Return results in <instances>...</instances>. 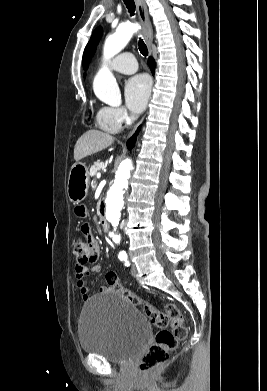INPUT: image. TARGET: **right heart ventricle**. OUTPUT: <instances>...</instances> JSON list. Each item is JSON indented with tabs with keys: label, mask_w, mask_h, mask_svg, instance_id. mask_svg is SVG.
Returning a JSON list of instances; mask_svg holds the SVG:
<instances>
[{
	"label": "right heart ventricle",
	"mask_w": 267,
	"mask_h": 391,
	"mask_svg": "<svg viewBox=\"0 0 267 391\" xmlns=\"http://www.w3.org/2000/svg\"><path fill=\"white\" fill-rule=\"evenodd\" d=\"M97 123L99 125V127L107 132H116L118 130L117 127H115L114 125L108 123L107 121H105L103 118H101L100 114L98 113V116H97Z\"/></svg>",
	"instance_id": "1"
}]
</instances>
